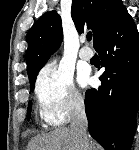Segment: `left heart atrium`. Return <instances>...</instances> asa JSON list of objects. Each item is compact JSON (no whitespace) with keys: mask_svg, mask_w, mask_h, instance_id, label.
<instances>
[{"mask_svg":"<svg viewBox=\"0 0 139 150\" xmlns=\"http://www.w3.org/2000/svg\"><path fill=\"white\" fill-rule=\"evenodd\" d=\"M80 82H81L82 84H85V83L87 82V78H86L84 75H82V76L80 77Z\"/></svg>","mask_w":139,"mask_h":150,"instance_id":"obj_1","label":"left heart atrium"}]
</instances>
